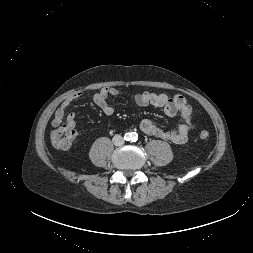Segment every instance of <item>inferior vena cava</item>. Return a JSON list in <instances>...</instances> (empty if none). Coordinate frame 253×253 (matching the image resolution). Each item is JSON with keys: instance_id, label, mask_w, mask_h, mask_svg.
<instances>
[{"instance_id": "inferior-vena-cava-1", "label": "inferior vena cava", "mask_w": 253, "mask_h": 253, "mask_svg": "<svg viewBox=\"0 0 253 253\" xmlns=\"http://www.w3.org/2000/svg\"><path fill=\"white\" fill-rule=\"evenodd\" d=\"M113 143H114V145H116V146H121V145L124 144V140H123V138H122L121 135H115V136L113 137Z\"/></svg>"}]
</instances>
